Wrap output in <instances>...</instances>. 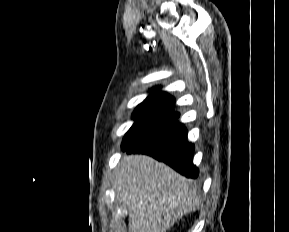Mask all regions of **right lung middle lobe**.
<instances>
[{
  "label": "right lung middle lobe",
  "mask_w": 289,
  "mask_h": 232,
  "mask_svg": "<svg viewBox=\"0 0 289 232\" xmlns=\"http://www.w3.org/2000/svg\"><path fill=\"white\" fill-rule=\"evenodd\" d=\"M179 116V113L169 109L140 104L133 113L135 122L126 133L122 147L136 143L158 129L176 121Z\"/></svg>",
  "instance_id": "1"
}]
</instances>
